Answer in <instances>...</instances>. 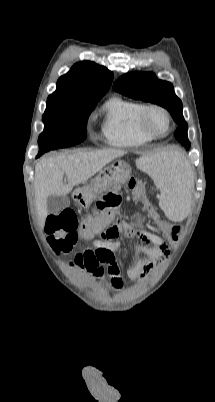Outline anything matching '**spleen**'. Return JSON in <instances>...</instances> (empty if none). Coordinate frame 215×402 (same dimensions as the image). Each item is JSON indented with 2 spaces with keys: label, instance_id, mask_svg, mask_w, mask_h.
I'll return each mask as SVG.
<instances>
[{
  "label": "spleen",
  "instance_id": "spleen-1",
  "mask_svg": "<svg viewBox=\"0 0 215 402\" xmlns=\"http://www.w3.org/2000/svg\"><path fill=\"white\" fill-rule=\"evenodd\" d=\"M139 167L148 173L163 190L156 204L172 220H183L191 214L188 197L194 196L190 178L197 177V170L190 169L187 160L177 150H167L153 156L140 158Z\"/></svg>",
  "mask_w": 215,
  "mask_h": 402
}]
</instances>
